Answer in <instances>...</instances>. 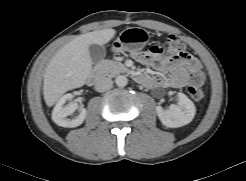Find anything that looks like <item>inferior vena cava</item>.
<instances>
[{"instance_id":"obj_1","label":"inferior vena cava","mask_w":246,"mask_h":181,"mask_svg":"<svg viewBox=\"0 0 246 181\" xmlns=\"http://www.w3.org/2000/svg\"><path fill=\"white\" fill-rule=\"evenodd\" d=\"M113 87V81L109 77H101L97 80L95 89L98 92H105Z\"/></svg>"}]
</instances>
